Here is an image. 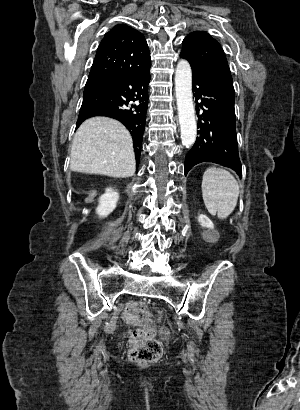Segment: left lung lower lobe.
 Here are the masks:
<instances>
[{"instance_id": "1", "label": "left lung lower lobe", "mask_w": 300, "mask_h": 410, "mask_svg": "<svg viewBox=\"0 0 300 410\" xmlns=\"http://www.w3.org/2000/svg\"><path fill=\"white\" fill-rule=\"evenodd\" d=\"M192 73L196 112L199 115L200 108L203 112L199 116L198 137L185 157V175L201 162H214L241 175L235 128V93L211 76L194 70Z\"/></svg>"}]
</instances>
